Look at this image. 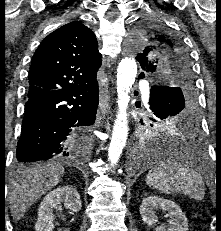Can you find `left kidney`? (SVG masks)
Returning a JSON list of instances; mask_svg holds the SVG:
<instances>
[{
	"label": "left kidney",
	"instance_id": "obj_1",
	"mask_svg": "<svg viewBox=\"0 0 221 231\" xmlns=\"http://www.w3.org/2000/svg\"><path fill=\"white\" fill-rule=\"evenodd\" d=\"M162 209L168 211V224L155 227V231H188L187 218L180 207L171 200L157 196L144 198L140 206V214L144 223L155 226L157 221L156 211Z\"/></svg>",
	"mask_w": 221,
	"mask_h": 231
}]
</instances>
